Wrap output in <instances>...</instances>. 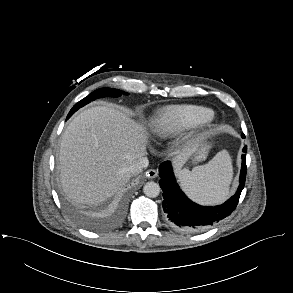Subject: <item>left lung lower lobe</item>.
Here are the masks:
<instances>
[{"label": "left lung lower lobe", "mask_w": 293, "mask_h": 293, "mask_svg": "<svg viewBox=\"0 0 293 293\" xmlns=\"http://www.w3.org/2000/svg\"><path fill=\"white\" fill-rule=\"evenodd\" d=\"M247 151V147L243 148ZM160 187L163 191V209L169 225L184 233H196L209 229L229 216L236 208L246 179V155H242L240 184L236 193L222 205L209 207L192 202L176 183L169 161L159 167Z\"/></svg>", "instance_id": "left-lung-lower-lobe-1"}]
</instances>
